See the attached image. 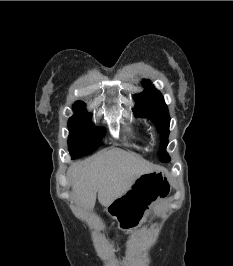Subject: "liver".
Returning a JSON list of instances; mask_svg holds the SVG:
<instances>
[{
    "label": "liver",
    "mask_w": 233,
    "mask_h": 266,
    "mask_svg": "<svg viewBox=\"0 0 233 266\" xmlns=\"http://www.w3.org/2000/svg\"><path fill=\"white\" fill-rule=\"evenodd\" d=\"M155 170V166L121 149H112L84 161L68 170L74 200L86 210H93L98 194L101 205L108 207L130 190L137 178Z\"/></svg>",
    "instance_id": "1"
}]
</instances>
